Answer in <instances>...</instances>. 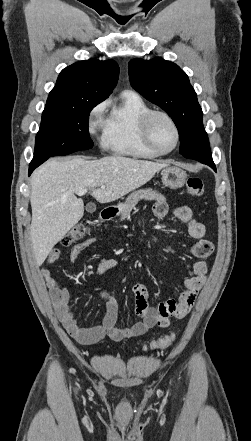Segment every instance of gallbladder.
<instances>
[{"instance_id":"gallbladder-1","label":"gallbladder","mask_w":251,"mask_h":441,"mask_svg":"<svg viewBox=\"0 0 251 441\" xmlns=\"http://www.w3.org/2000/svg\"><path fill=\"white\" fill-rule=\"evenodd\" d=\"M86 210H87V212H89V213H93V212H95V210H96V206H95V204H93V203H89V204H87V206H86Z\"/></svg>"}]
</instances>
